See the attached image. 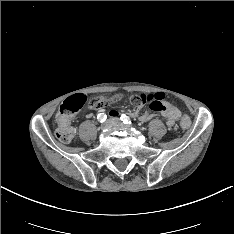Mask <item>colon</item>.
Returning <instances> with one entry per match:
<instances>
[{"mask_svg": "<svg viewBox=\"0 0 234 234\" xmlns=\"http://www.w3.org/2000/svg\"><path fill=\"white\" fill-rule=\"evenodd\" d=\"M165 99L164 93L155 94H135L130 97V102L136 107H142L148 105L151 109L158 110L161 108L162 102ZM86 103V97L82 94H76L67 98L60 105L58 112L56 114L57 130L56 136L63 143H71L75 136L76 131L71 126V121L75 114L84 106ZM93 108L98 109L102 102L99 98L93 99L91 101ZM182 128H187L190 125V120L187 116L183 117L181 123Z\"/></svg>", "mask_w": 234, "mask_h": 234, "instance_id": "colon-1", "label": "colon"}]
</instances>
